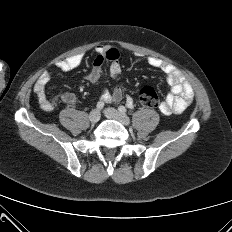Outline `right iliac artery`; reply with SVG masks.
Returning <instances> with one entry per match:
<instances>
[{"label":"right iliac artery","instance_id":"1","mask_svg":"<svg viewBox=\"0 0 232 232\" xmlns=\"http://www.w3.org/2000/svg\"><path fill=\"white\" fill-rule=\"evenodd\" d=\"M96 107H97V109H99V110L103 109V107H104V102L99 101V102L97 103Z\"/></svg>","mask_w":232,"mask_h":232}]
</instances>
